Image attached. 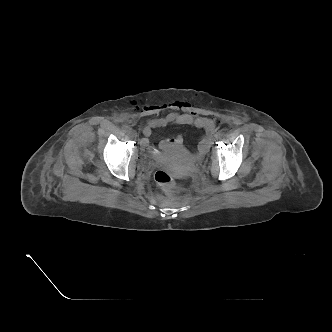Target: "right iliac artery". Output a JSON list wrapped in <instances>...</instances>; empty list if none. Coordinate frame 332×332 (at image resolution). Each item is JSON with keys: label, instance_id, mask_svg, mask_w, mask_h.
<instances>
[{"label": "right iliac artery", "instance_id": "82829eb1", "mask_svg": "<svg viewBox=\"0 0 332 332\" xmlns=\"http://www.w3.org/2000/svg\"><path fill=\"white\" fill-rule=\"evenodd\" d=\"M123 130H124V131H129V130H130V127H128V126H124V127H123Z\"/></svg>", "mask_w": 332, "mask_h": 332}]
</instances>
